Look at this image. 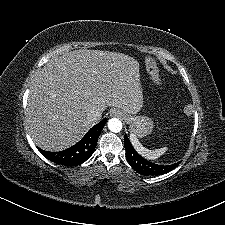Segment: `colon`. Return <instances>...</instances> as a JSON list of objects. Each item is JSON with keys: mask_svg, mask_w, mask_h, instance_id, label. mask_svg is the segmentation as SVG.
Returning <instances> with one entry per match:
<instances>
[{"mask_svg": "<svg viewBox=\"0 0 225 225\" xmlns=\"http://www.w3.org/2000/svg\"><path fill=\"white\" fill-rule=\"evenodd\" d=\"M147 65H148V67H152L154 64H153V62L149 61V62L147 63Z\"/></svg>", "mask_w": 225, "mask_h": 225, "instance_id": "1", "label": "colon"}]
</instances>
